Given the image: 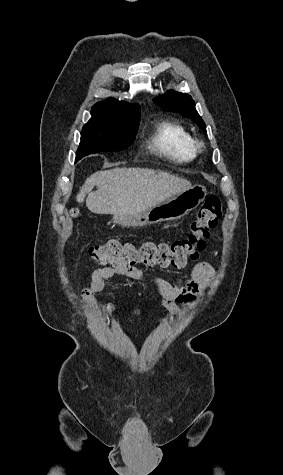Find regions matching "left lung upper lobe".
I'll use <instances>...</instances> for the list:
<instances>
[{"label": "left lung upper lobe", "mask_w": 283, "mask_h": 475, "mask_svg": "<svg viewBox=\"0 0 283 475\" xmlns=\"http://www.w3.org/2000/svg\"><path fill=\"white\" fill-rule=\"evenodd\" d=\"M154 102L167 111L179 112L182 116L188 117L206 131V125L196 111L195 102L190 95L169 91L166 95L155 98Z\"/></svg>", "instance_id": "5c2ea615"}]
</instances>
